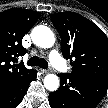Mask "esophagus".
<instances>
[{
  "label": "esophagus",
  "mask_w": 108,
  "mask_h": 108,
  "mask_svg": "<svg viewBox=\"0 0 108 108\" xmlns=\"http://www.w3.org/2000/svg\"><path fill=\"white\" fill-rule=\"evenodd\" d=\"M40 71L43 73V74H47L50 72V70L48 69H40Z\"/></svg>",
  "instance_id": "obj_1"
}]
</instances>
